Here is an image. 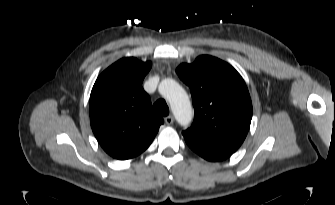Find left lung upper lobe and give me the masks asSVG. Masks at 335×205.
<instances>
[{
    "label": "left lung upper lobe",
    "instance_id": "obj_1",
    "mask_svg": "<svg viewBox=\"0 0 335 205\" xmlns=\"http://www.w3.org/2000/svg\"><path fill=\"white\" fill-rule=\"evenodd\" d=\"M176 72L190 87L195 117L182 134L211 150L234 153L243 143L252 119V102L240 74L228 63L208 55Z\"/></svg>",
    "mask_w": 335,
    "mask_h": 205
}]
</instances>
